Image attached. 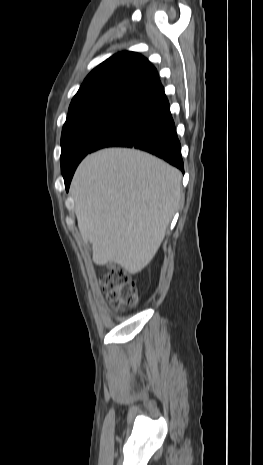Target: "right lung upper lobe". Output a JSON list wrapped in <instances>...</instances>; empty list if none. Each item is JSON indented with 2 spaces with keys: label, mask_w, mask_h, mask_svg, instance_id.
Segmentation results:
<instances>
[{
  "label": "right lung upper lobe",
  "mask_w": 263,
  "mask_h": 465,
  "mask_svg": "<svg viewBox=\"0 0 263 465\" xmlns=\"http://www.w3.org/2000/svg\"><path fill=\"white\" fill-rule=\"evenodd\" d=\"M160 86L157 70L145 57L130 51L119 52L91 71L72 99L69 110L103 98L138 100Z\"/></svg>",
  "instance_id": "right-lung-upper-lobe-1"
}]
</instances>
